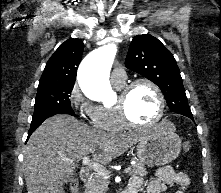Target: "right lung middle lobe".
Masks as SVG:
<instances>
[{
  "mask_svg": "<svg viewBox=\"0 0 221 193\" xmlns=\"http://www.w3.org/2000/svg\"><path fill=\"white\" fill-rule=\"evenodd\" d=\"M73 87L74 85L38 87L32 120L53 113H74L69 99Z\"/></svg>",
  "mask_w": 221,
  "mask_h": 193,
  "instance_id": "1",
  "label": "right lung middle lobe"
}]
</instances>
